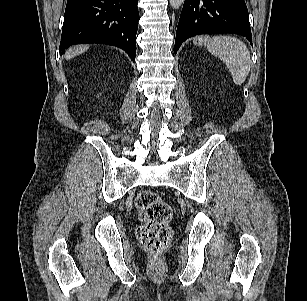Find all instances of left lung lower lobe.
<instances>
[{
	"label": "left lung lower lobe",
	"mask_w": 307,
	"mask_h": 301,
	"mask_svg": "<svg viewBox=\"0 0 307 301\" xmlns=\"http://www.w3.org/2000/svg\"><path fill=\"white\" fill-rule=\"evenodd\" d=\"M212 33L240 34L252 44L245 1L185 0L176 31L175 53L186 39Z\"/></svg>",
	"instance_id": "left-lung-lower-lobe-1"
}]
</instances>
